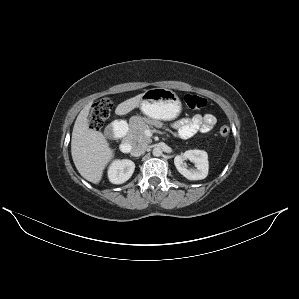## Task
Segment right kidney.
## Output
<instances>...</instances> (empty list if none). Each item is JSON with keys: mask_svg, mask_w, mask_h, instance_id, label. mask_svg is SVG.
I'll return each mask as SVG.
<instances>
[{"mask_svg": "<svg viewBox=\"0 0 299 299\" xmlns=\"http://www.w3.org/2000/svg\"><path fill=\"white\" fill-rule=\"evenodd\" d=\"M135 164L131 160H115L108 170V177L111 183L121 184L127 181L133 174Z\"/></svg>", "mask_w": 299, "mask_h": 299, "instance_id": "1", "label": "right kidney"}]
</instances>
